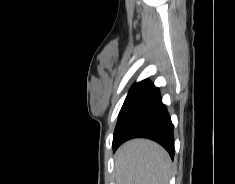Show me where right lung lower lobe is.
I'll use <instances>...</instances> for the list:
<instances>
[{
    "instance_id": "98d812e1",
    "label": "right lung lower lobe",
    "mask_w": 235,
    "mask_h": 184,
    "mask_svg": "<svg viewBox=\"0 0 235 184\" xmlns=\"http://www.w3.org/2000/svg\"><path fill=\"white\" fill-rule=\"evenodd\" d=\"M143 137L162 145L173 158V124L159 89L144 80L129 91L119 113L113 136V151L125 141Z\"/></svg>"
}]
</instances>
